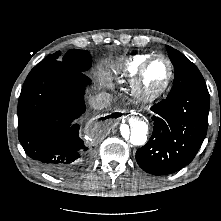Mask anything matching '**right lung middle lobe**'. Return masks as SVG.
Returning a JSON list of instances; mask_svg holds the SVG:
<instances>
[{
  "label": "right lung middle lobe",
  "mask_w": 221,
  "mask_h": 221,
  "mask_svg": "<svg viewBox=\"0 0 221 221\" xmlns=\"http://www.w3.org/2000/svg\"><path fill=\"white\" fill-rule=\"evenodd\" d=\"M46 61H60L64 65L77 70L85 71L91 65L90 54L85 50H69L64 56H61V52L57 51L54 54L48 55L42 62Z\"/></svg>",
  "instance_id": "right-lung-middle-lobe-1"
}]
</instances>
